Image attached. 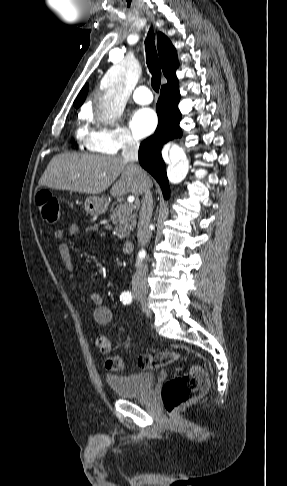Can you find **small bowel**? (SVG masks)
Segmentation results:
<instances>
[{
	"instance_id": "obj_1",
	"label": "small bowel",
	"mask_w": 287,
	"mask_h": 486,
	"mask_svg": "<svg viewBox=\"0 0 287 486\" xmlns=\"http://www.w3.org/2000/svg\"><path fill=\"white\" fill-rule=\"evenodd\" d=\"M80 230L79 225L73 224L68 230L58 229L54 232L53 237L56 241H59L58 250L60 253L61 260L74 280H78V275L75 272L74 265L71 258L69 245L63 241L66 234H75ZM90 300L95 306L93 317L98 325L105 326L108 325L113 319V313L110 308L104 305L103 297L97 293L92 292L90 294Z\"/></svg>"
}]
</instances>
